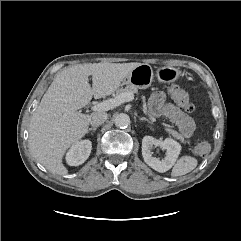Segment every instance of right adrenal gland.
Listing matches in <instances>:
<instances>
[{
	"label": "right adrenal gland",
	"mask_w": 241,
	"mask_h": 241,
	"mask_svg": "<svg viewBox=\"0 0 241 241\" xmlns=\"http://www.w3.org/2000/svg\"><path fill=\"white\" fill-rule=\"evenodd\" d=\"M97 130V127H91L87 130V133H89L90 131L95 132Z\"/></svg>",
	"instance_id": "1"
}]
</instances>
